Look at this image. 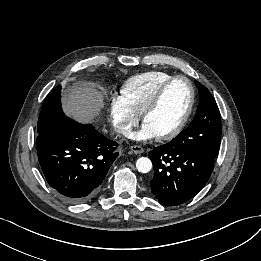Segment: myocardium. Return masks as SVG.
Returning a JSON list of instances; mask_svg holds the SVG:
<instances>
[{"label":"myocardium","instance_id":"obj_1","mask_svg":"<svg viewBox=\"0 0 261 261\" xmlns=\"http://www.w3.org/2000/svg\"><path fill=\"white\" fill-rule=\"evenodd\" d=\"M179 80L185 81L188 84V86H189V89H190L189 104H188L186 112L184 113V115H183L181 121L179 122V124L173 130H171V131H169V132H167L165 134L157 136V138L159 140H171V139L175 138L177 135H179L183 131V129L187 125V123H188V121H189V119L191 117V114L193 112L195 99H196L195 87H194L192 81L188 77L183 76V75L173 76L171 79L166 81L159 88V90L157 91V93L155 94V96L153 97L151 102L148 104V106L145 108V110L141 114L142 122L145 123V120L147 119V117L149 115H151L153 112H155L159 108V106H160V104L162 102V99H163L167 89L174 82L179 81Z\"/></svg>","mask_w":261,"mask_h":261}]
</instances>
